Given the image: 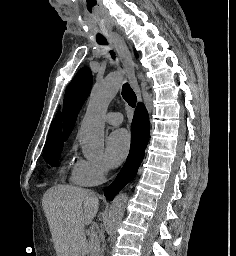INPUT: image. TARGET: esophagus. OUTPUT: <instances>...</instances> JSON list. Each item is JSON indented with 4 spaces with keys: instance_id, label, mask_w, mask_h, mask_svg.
<instances>
[{
    "instance_id": "obj_1",
    "label": "esophagus",
    "mask_w": 236,
    "mask_h": 256,
    "mask_svg": "<svg viewBox=\"0 0 236 256\" xmlns=\"http://www.w3.org/2000/svg\"><path fill=\"white\" fill-rule=\"evenodd\" d=\"M110 39L117 50L119 58L127 71V76L130 84L132 85L135 93L137 95L138 101H142L141 91L138 85V81L135 75V63L132 59L131 53L128 49L127 43L124 38L121 37L118 33H112L110 35Z\"/></svg>"
}]
</instances>
